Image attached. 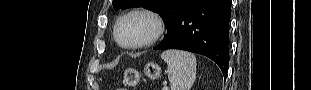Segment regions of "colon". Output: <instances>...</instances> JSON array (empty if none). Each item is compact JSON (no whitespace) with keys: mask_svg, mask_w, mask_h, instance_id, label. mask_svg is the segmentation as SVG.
<instances>
[{"mask_svg":"<svg viewBox=\"0 0 311 90\" xmlns=\"http://www.w3.org/2000/svg\"><path fill=\"white\" fill-rule=\"evenodd\" d=\"M119 90H128L126 87L120 88Z\"/></svg>","mask_w":311,"mask_h":90,"instance_id":"colon-1","label":"colon"}]
</instances>
